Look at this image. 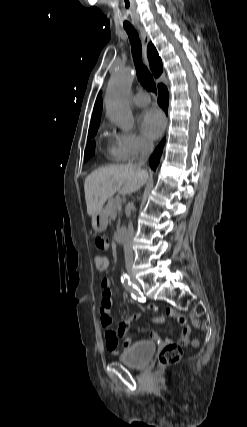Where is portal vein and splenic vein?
<instances>
[{
    "mask_svg": "<svg viewBox=\"0 0 247 427\" xmlns=\"http://www.w3.org/2000/svg\"><path fill=\"white\" fill-rule=\"evenodd\" d=\"M117 201H118V202H121V199H120V197H117Z\"/></svg>",
    "mask_w": 247,
    "mask_h": 427,
    "instance_id": "1",
    "label": "portal vein and splenic vein"
}]
</instances>
